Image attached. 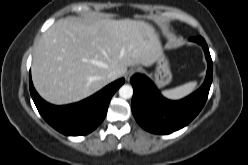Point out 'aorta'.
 <instances>
[{
  "mask_svg": "<svg viewBox=\"0 0 248 165\" xmlns=\"http://www.w3.org/2000/svg\"><path fill=\"white\" fill-rule=\"evenodd\" d=\"M133 95V88L130 85H123L119 89V96L123 99H129Z\"/></svg>",
  "mask_w": 248,
  "mask_h": 165,
  "instance_id": "762f6f07",
  "label": "aorta"
}]
</instances>
